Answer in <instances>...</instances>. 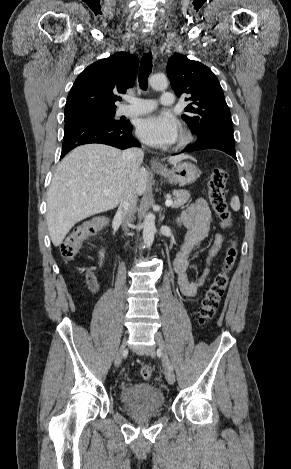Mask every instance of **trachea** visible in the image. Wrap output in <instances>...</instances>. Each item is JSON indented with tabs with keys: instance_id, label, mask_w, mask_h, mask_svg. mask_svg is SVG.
Returning <instances> with one entry per match:
<instances>
[{
	"instance_id": "3493384b",
	"label": "trachea",
	"mask_w": 291,
	"mask_h": 469,
	"mask_svg": "<svg viewBox=\"0 0 291 469\" xmlns=\"http://www.w3.org/2000/svg\"><path fill=\"white\" fill-rule=\"evenodd\" d=\"M152 71V53L143 55L139 69V86L142 90H147V80Z\"/></svg>"
}]
</instances>
